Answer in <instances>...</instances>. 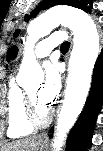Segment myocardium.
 I'll return each mask as SVG.
<instances>
[{
	"mask_svg": "<svg viewBox=\"0 0 103 151\" xmlns=\"http://www.w3.org/2000/svg\"><path fill=\"white\" fill-rule=\"evenodd\" d=\"M24 100H25V115L28 123L34 128H42L49 124L53 111L48 108L47 113L44 116H38L36 112L35 105L30 98L27 91L24 92Z\"/></svg>",
	"mask_w": 103,
	"mask_h": 151,
	"instance_id": "obj_1",
	"label": "myocardium"
}]
</instances>
